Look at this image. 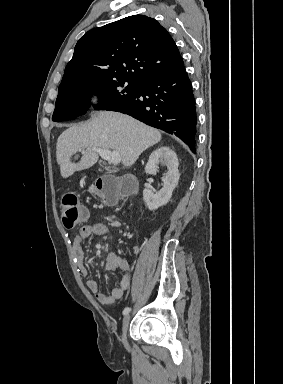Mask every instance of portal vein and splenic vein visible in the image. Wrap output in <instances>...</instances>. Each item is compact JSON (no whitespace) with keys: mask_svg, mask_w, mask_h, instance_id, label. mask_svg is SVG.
<instances>
[{"mask_svg":"<svg viewBox=\"0 0 283 384\" xmlns=\"http://www.w3.org/2000/svg\"><path fill=\"white\" fill-rule=\"evenodd\" d=\"M92 152H97L103 160H107L110 164H120L121 162L120 154L115 152V150L111 152V150H104V148H92Z\"/></svg>","mask_w":283,"mask_h":384,"instance_id":"portal-vein-and-splenic-vein-1","label":"portal vein and splenic vein"}]
</instances>
